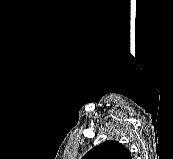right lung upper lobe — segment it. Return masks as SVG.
<instances>
[{"mask_svg":"<svg viewBox=\"0 0 173 159\" xmlns=\"http://www.w3.org/2000/svg\"><path fill=\"white\" fill-rule=\"evenodd\" d=\"M82 159H132L129 150L114 140H109L94 147Z\"/></svg>","mask_w":173,"mask_h":159,"instance_id":"obj_1","label":"right lung upper lobe"}]
</instances>
